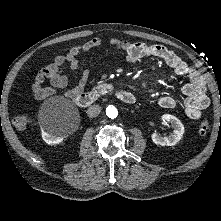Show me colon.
<instances>
[{"instance_id":"obj_1","label":"colon","mask_w":221,"mask_h":221,"mask_svg":"<svg viewBox=\"0 0 221 221\" xmlns=\"http://www.w3.org/2000/svg\"><path fill=\"white\" fill-rule=\"evenodd\" d=\"M14 125L18 128V129H23L26 127L27 123H28V118L25 115H19L16 116L13 120ZM210 130V124L208 121H202L199 124V132L200 134L204 135L206 134L208 131Z\"/></svg>"}]
</instances>
